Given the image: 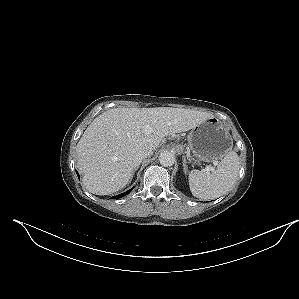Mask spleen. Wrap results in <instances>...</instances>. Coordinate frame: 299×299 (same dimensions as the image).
Instances as JSON below:
<instances>
[{
  "label": "spleen",
  "instance_id": "3e777b00",
  "mask_svg": "<svg viewBox=\"0 0 299 299\" xmlns=\"http://www.w3.org/2000/svg\"><path fill=\"white\" fill-rule=\"evenodd\" d=\"M239 164L237 153L230 151L212 172L192 170L188 178L192 195L203 200L220 197L236 182Z\"/></svg>",
  "mask_w": 299,
  "mask_h": 299
}]
</instances>
